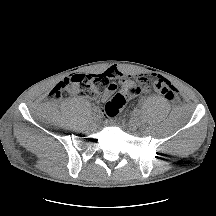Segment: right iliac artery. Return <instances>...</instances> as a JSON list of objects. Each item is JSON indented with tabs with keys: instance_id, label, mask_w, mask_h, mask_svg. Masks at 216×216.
<instances>
[{
	"instance_id": "obj_1",
	"label": "right iliac artery",
	"mask_w": 216,
	"mask_h": 216,
	"mask_svg": "<svg viewBox=\"0 0 216 216\" xmlns=\"http://www.w3.org/2000/svg\"><path fill=\"white\" fill-rule=\"evenodd\" d=\"M99 112V109H97V108H95V109H93L90 113L93 115H95L96 113H98Z\"/></svg>"
}]
</instances>
